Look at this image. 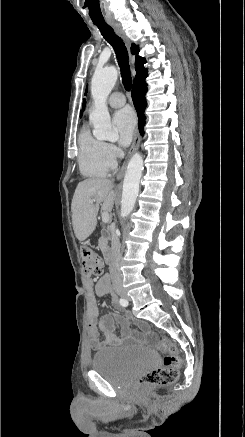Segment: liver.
I'll return each mask as SVG.
<instances>
[{
	"label": "liver",
	"instance_id": "1",
	"mask_svg": "<svg viewBox=\"0 0 245 437\" xmlns=\"http://www.w3.org/2000/svg\"><path fill=\"white\" fill-rule=\"evenodd\" d=\"M112 180L90 178L80 182L75 190L71 211L75 236L79 241L86 240L95 230L99 206L110 212L115 201ZM93 199V203L89 200Z\"/></svg>",
	"mask_w": 245,
	"mask_h": 437
}]
</instances>
